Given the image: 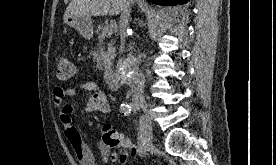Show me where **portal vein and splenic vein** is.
<instances>
[{
	"label": "portal vein and splenic vein",
	"instance_id": "obj_1",
	"mask_svg": "<svg viewBox=\"0 0 276 165\" xmlns=\"http://www.w3.org/2000/svg\"><path fill=\"white\" fill-rule=\"evenodd\" d=\"M115 24L106 25L103 27L102 33L103 35H112L113 29L115 28Z\"/></svg>",
	"mask_w": 276,
	"mask_h": 165
}]
</instances>
